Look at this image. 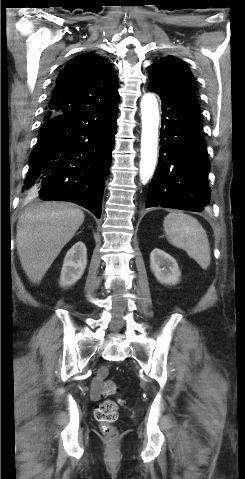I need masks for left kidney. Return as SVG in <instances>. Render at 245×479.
Here are the masks:
<instances>
[{"mask_svg":"<svg viewBox=\"0 0 245 479\" xmlns=\"http://www.w3.org/2000/svg\"><path fill=\"white\" fill-rule=\"evenodd\" d=\"M150 268L156 279L166 285H175L180 281L181 271L176 260L158 248L150 254Z\"/></svg>","mask_w":245,"mask_h":479,"instance_id":"5707ae66","label":"left kidney"}]
</instances>
